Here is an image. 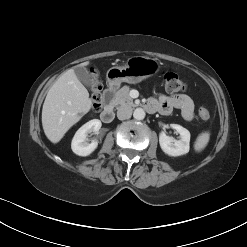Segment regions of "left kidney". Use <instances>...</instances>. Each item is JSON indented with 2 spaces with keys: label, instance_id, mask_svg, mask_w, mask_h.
I'll return each mask as SVG.
<instances>
[{
  "label": "left kidney",
  "instance_id": "1",
  "mask_svg": "<svg viewBox=\"0 0 247 247\" xmlns=\"http://www.w3.org/2000/svg\"><path fill=\"white\" fill-rule=\"evenodd\" d=\"M171 127L179 133L180 139L176 140L173 137L167 136L164 132H161L159 135L161 149L165 154L173 157L187 154L190 148V132L178 124H172Z\"/></svg>",
  "mask_w": 247,
  "mask_h": 247
}]
</instances>
